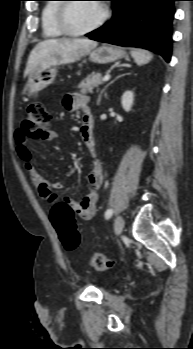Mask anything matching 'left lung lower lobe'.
<instances>
[{"mask_svg": "<svg viewBox=\"0 0 193 349\" xmlns=\"http://www.w3.org/2000/svg\"><path fill=\"white\" fill-rule=\"evenodd\" d=\"M109 24L88 33L92 40L120 46L140 47L171 57L173 3L176 0H111Z\"/></svg>", "mask_w": 193, "mask_h": 349, "instance_id": "1", "label": "left lung lower lobe"}]
</instances>
